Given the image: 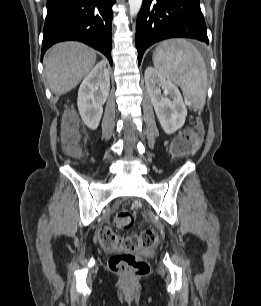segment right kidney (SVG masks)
<instances>
[{
  "label": "right kidney",
  "mask_w": 261,
  "mask_h": 306,
  "mask_svg": "<svg viewBox=\"0 0 261 306\" xmlns=\"http://www.w3.org/2000/svg\"><path fill=\"white\" fill-rule=\"evenodd\" d=\"M110 90L109 70L105 61H100L85 77L78 90L77 105L86 126L95 130L100 122Z\"/></svg>",
  "instance_id": "1"
}]
</instances>
